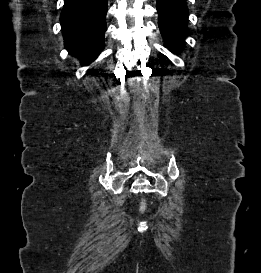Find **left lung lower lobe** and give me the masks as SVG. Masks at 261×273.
<instances>
[{
    "instance_id": "1",
    "label": "left lung lower lobe",
    "mask_w": 261,
    "mask_h": 273,
    "mask_svg": "<svg viewBox=\"0 0 261 273\" xmlns=\"http://www.w3.org/2000/svg\"><path fill=\"white\" fill-rule=\"evenodd\" d=\"M158 24L165 47L171 52L181 51L187 30L188 7L186 0H157Z\"/></svg>"
}]
</instances>
